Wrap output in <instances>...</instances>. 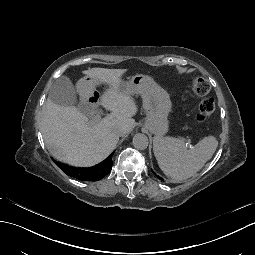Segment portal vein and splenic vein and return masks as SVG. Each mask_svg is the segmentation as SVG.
Here are the masks:
<instances>
[{
    "instance_id": "obj_1",
    "label": "portal vein and splenic vein",
    "mask_w": 255,
    "mask_h": 255,
    "mask_svg": "<svg viewBox=\"0 0 255 255\" xmlns=\"http://www.w3.org/2000/svg\"><path fill=\"white\" fill-rule=\"evenodd\" d=\"M100 119H101L100 115L97 114V115L95 116V118L93 119V122H94V123H97V122L100 121ZM187 141H190V137H187ZM190 146H193V143H190Z\"/></svg>"
}]
</instances>
